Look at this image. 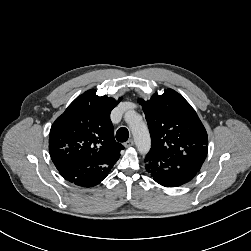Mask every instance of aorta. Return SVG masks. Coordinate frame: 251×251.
Returning <instances> with one entry per match:
<instances>
[{
    "mask_svg": "<svg viewBox=\"0 0 251 251\" xmlns=\"http://www.w3.org/2000/svg\"><path fill=\"white\" fill-rule=\"evenodd\" d=\"M125 120L129 124L133 134L136 147L141 154H146L150 150L151 140L147 126L139 119L135 111H128Z\"/></svg>",
    "mask_w": 251,
    "mask_h": 251,
    "instance_id": "aorta-1",
    "label": "aorta"
}]
</instances>
